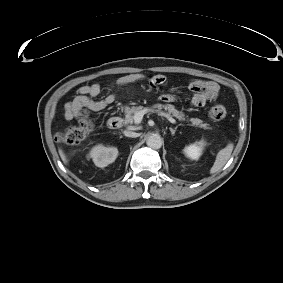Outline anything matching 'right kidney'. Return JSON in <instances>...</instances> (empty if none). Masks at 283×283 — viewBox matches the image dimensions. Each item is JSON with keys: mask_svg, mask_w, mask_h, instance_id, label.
I'll return each instance as SVG.
<instances>
[{"mask_svg": "<svg viewBox=\"0 0 283 283\" xmlns=\"http://www.w3.org/2000/svg\"><path fill=\"white\" fill-rule=\"evenodd\" d=\"M90 156L96 166L103 168L115 161L118 156V150L115 147L97 145L90 151Z\"/></svg>", "mask_w": 283, "mask_h": 283, "instance_id": "obj_1", "label": "right kidney"}]
</instances>
